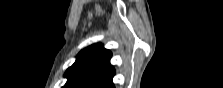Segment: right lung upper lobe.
<instances>
[{
    "mask_svg": "<svg viewBox=\"0 0 223 88\" xmlns=\"http://www.w3.org/2000/svg\"><path fill=\"white\" fill-rule=\"evenodd\" d=\"M111 52L102 44L82 50L76 62L67 69L64 88H114V68L110 65Z\"/></svg>",
    "mask_w": 223,
    "mask_h": 88,
    "instance_id": "cb5924a9",
    "label": "right lung upper lobe"
}]
</instances>
